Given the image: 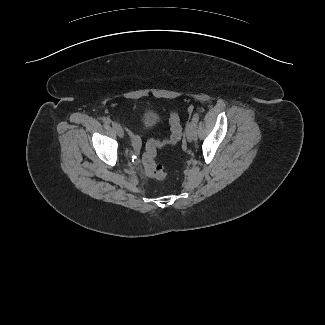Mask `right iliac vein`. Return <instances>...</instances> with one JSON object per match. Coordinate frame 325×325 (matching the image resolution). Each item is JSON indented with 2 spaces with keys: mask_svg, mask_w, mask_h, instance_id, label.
I'll return each mask as SVG.
<instances>
[{
  "mask_svg": "<svg viewBox=\"0 0 325 325\" xmlns=\"http://www.w3.org/2000/svg\"><path fill=\"white\" fill-rule=\"evenodd\" d=\"M112 127L114 129V131L117 133V135L120 138H123L124 136V131L122 129V127L120 126V124L116 123V122H112Z\"/></svg>",
  "mask_w": 325,
  "mask_h": 325,
  "instance_id": "right-iliac-vein-1",
  "label": "right iliac vein"
}]
</instances>
